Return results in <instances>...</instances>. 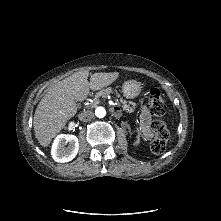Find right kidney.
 <instances>
[{
	"mask_svg": "<svg viewBox=\"0 0 221 221\" xmlns=\"http://www.w3.org/2000/svg\"><path fill=\"white\" fill-rule=\"evenodd\" d=\"M78 150L79 141L76 136L61 134L54 140L51 155L56 162L65 163L73 160Z\"/></svg>",
	"mask_w": 221,
	"mask_h": 221,
	"instance_id": "right-kidney-1",
	"label": "right kidney"
}]
</instances>
